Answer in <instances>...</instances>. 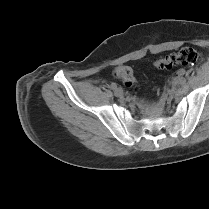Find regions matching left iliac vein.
Returning <instances> with one entry per match:
<instances>
[{"instance_id":"left-iliac-vein-1","label":"left iliac vein","mask_w":209,"mask_h":209,"mask_svg":"<svg viewBox=\"0 0 209 209\" xmlns=\"http://www.w3.org/2000/svg\"><path fill=\"white\" fill-rule=\"evenodd\" d=\"M182 78V76H177L175 79L172 80V86L173 87H178L179 86V79Z\"/></svg>"}]
</instances>
